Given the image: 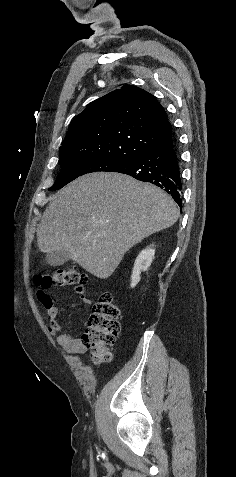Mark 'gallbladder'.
Instances as JSON below:
<instances>
[{
    "mask_svg": "<svg viewBox=\"0 0 236 477\" xmlns=\"http://www.w3.org/2000/svg\"><path fill=\"white\" fill-rule=\"evenodd\" d=\"M69 260V254L67 251H58L47 253L46 261L51 266H60L66 263Z\"/></svg>",
    "mask_w": 236,
    "mask_h": 477,
    "instance_id": "bac80fb5",
    "label": "gallbladder"
}]
</instances>
